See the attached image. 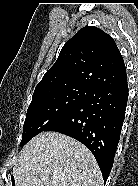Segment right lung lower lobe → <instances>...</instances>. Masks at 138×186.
<instances>
[{"label":"right lung lower lobe","mask_w":138,"mask_h":186,"mask_svg":"<svg viewBox=\"0 0 138 186\" xmlns=\"http://www.w3.org/2000/svg\"><path fill=\"white\" fill-rule=\"evenodd\" d=\"M127 99V82L90 88L80 105L46 131L60 132L83 143L93 153L106 182L119 143Z\"/></svg>","instance_id":"obj_1"}]
</instances>
